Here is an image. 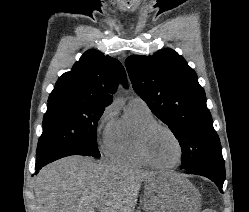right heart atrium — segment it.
Wrapping results in <instances>:
<instances>
[{
	"mask_svg": "<svg viewBox=\"0 0 249 212\" xmlns=\"http://www.w3.org/2000/svg\"><path fill=\"white\" fill-rule=\"evenodd\" d=\"M115 112L116 106L114 103L107 105L98 116L95 124L96 137L104 150L109 141V128Z\"/></svg>",
	"mask_w": 249,
	"mask_h": 212,
	"instance_id": "right-heart-atrium-1",
	"label": "right heart atrium"
}]
</instances>
